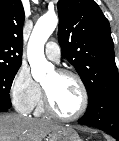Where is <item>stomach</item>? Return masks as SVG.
Segmentation results:
<instances>
[{
    "instance_id": "stomach-1",
    "label": "stomach",
    "mask_w": 119,
    "mask_h": 141,
    "mask_svg": "<svg viewBox=\"0 0 119 141\" xmlns=\"http://www.w3.org/2000/svg\"><path fill=\"white\" fill-rule=\"evenodd\" d=\"M47 141H82L78 133L71 127H61L51 132Z\"/></svg>"
}]
</instances>
